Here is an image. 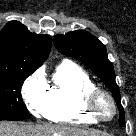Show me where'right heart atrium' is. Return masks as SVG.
<instances>
[{"label":"right heart atrium","mask_w":136,"mask_h":136,"mask_svg":"<svg viewBox=\"0 0 136 136\" xmlns=\"http://www.w3.org/2000/svg\"><path fill=\"white\" fill-rule=\"evenodd\" d=\"M22 97L34 116H43L48 104V87L42 73L36 72L24 82Z\"/></svg>","instance_id":"d8ad5b80"}]
</instances>
